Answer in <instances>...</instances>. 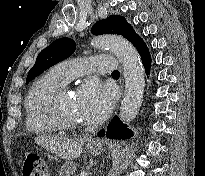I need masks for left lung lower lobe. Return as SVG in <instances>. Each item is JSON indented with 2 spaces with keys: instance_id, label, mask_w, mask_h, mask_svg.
I'll use <instances>...</instances> for the list:
<instances>
[{
  "instance_id": "1",
  "label": "left lung lower lobe",
  "mask_w": 205,
  "mask_h": 176,
  "mask_svg": "<svg viewBox=\"0 0 205 176\" xmlns=\"http://www.w3.org/2000/svg\"><path fill=\"white\" fill-rule=\"evenodd\" d=\"M128 40L136 47L145 67V72L148 73L151 66V56L147 45L142 38L133 30L128 37ZM99 137L107 136L111 139H127L133 136V132L127 128V125L123 124L121 120L115 116L112 122L104 130L98 133Z\"/></svg>"
}]
</instances>
